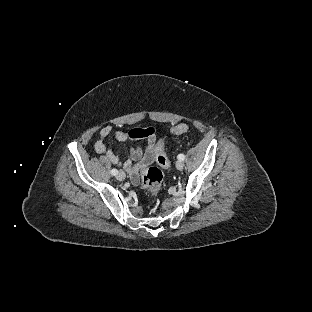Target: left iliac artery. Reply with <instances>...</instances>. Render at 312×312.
<instances>
[{
  "label": "left iliac artery",
  "mask_w": 312,
  "mask_h": 312,
  "mask_svg": "<svg viewBox=\"0 0 312 312\" xmlns=\"http://www.w3.org/2000/svg\"><path fill=\"white\" fill-rule=\"evenodd\" d=\"M178 159L179 160H184L185 159V155L184 154H179L178 155Z\"/></svg>",
  "instance_id": "left-iliac-artery-1"
}]
</instances>
